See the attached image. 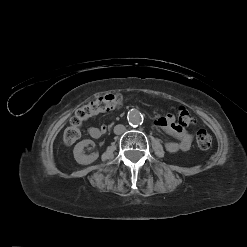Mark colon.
Here are the masks:
<instances>
[{"label":"colon","mask_w":247,"mask_h":247,"mask_svg":"<svg viewBox=\"0 0 247 247\" xmlns=\"http://www.w3.org/2000/svg\"><path fill=\"white\" fill-rule=\"evenodd\" d=\"M123 103V96L116 93L101 96L78 108L70 120V125L64 131V143L66 145H72L80 138V127L83 122L99 113L118 109ZM194 123V116L187 109L180 108L178 112V124L181 127H189ZM196 142L200 149L208 150L212 145V136L205 130H199L196 135Z\"/></svg>","instance_id":"obj_1"}]
</instances>
